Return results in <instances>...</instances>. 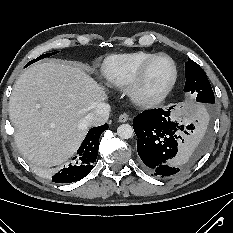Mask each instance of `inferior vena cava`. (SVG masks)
<instances>
[{
  "label": "inferior vena cava",
  "mask_w": 233,
  "mask_h": 233,
  "mask_svg": "<svg viewBox=\"0 0 233 233\" xmlns=\"http://www.w3.org/2000/svg\"><path fill=\"white\" fill-rule=\"evenodd\" d=\"M109 113L110 105L107 103H99L85 119L90 126H100L108 120Z\"/></svg>",
  "instance_id": "obj_1"
}]
</instances>
